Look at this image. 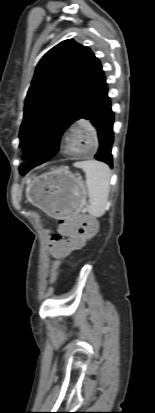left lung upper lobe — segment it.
Segmentation results:
<instances>
[{"instance_id": "obj_1", "label": "left lung upper lobe", "mask_w": 155, "mask_h": 413, "mask_svg": "<svg viewBox=\"0 0 155 413\" xmlns=\"http://www.w3.org/2000/svg\"><path fill=\"white\" fill-rule=\"evenodd\" d=\"M103 75L88 47L69 39L49 50L37 65L26 100L19 147L29 153L20 167L25 174L55 155L59 141Z\"/></svg>"}]
</instances>
